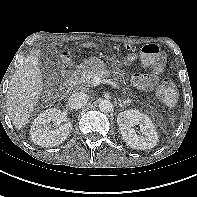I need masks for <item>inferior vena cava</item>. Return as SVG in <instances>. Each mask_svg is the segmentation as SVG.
Instances as JSON below:
<instances>
[{"instance_id": "602c4592", "label": "inferior vena cava", "mask_w": 197, "mask_h": 197, "mask_svg": "<svg viewBox=\"0 0 197 197\" xmlns=\"http://www.w3.org/2000/svg\"><path fill=\"white\" fill-rule=\"evenodd\" d=\"M87 101V94L83 92H78L70 96L68 103L72 109H80L86 105Z\"/></svg>"}]
</instances>
